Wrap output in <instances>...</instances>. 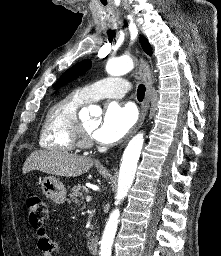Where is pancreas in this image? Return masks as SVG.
Returning a JSON list of instances; mask_svg holds the SVG:
<instances>
[{
    "label": "pancreas",
    "mask_w": 221,
    "mask_h": 256,
    "mask_svg": "<svg viewBox=\"0 0 221 256\" xmlns=\"http://www.w3.org/2000/svg\"><path fill=\"white\" fill-rule=\"evenodd\" d=\"M88 192L89 191L85 186L78 184L77 186H74L72 188L71 193L69 194L68 202L73 201V203L77 204L79 203L78 198H81V200H83Z\"/></svg>",
    "instance_id": "1"
}]
</instances>
